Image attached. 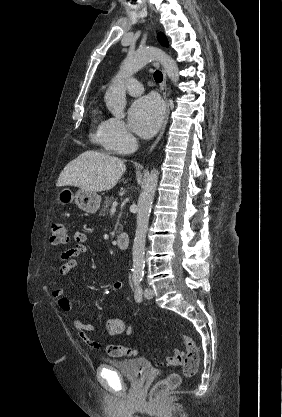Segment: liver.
<instances>
[{
    "instance_id": "6515ba94",
    "label": "liver",
    "mask_w": 282,
    "mask_h": 417,
    "mask_svg": "<svg viewBox=\"0 0 282 417\" xmlns=\"http://www.w3.org/2000/svg\"><path fill=\"white\" fill-rule=\"evenodd\" d=\"M126 166L118 156H109L96 150H85L70 160L59 174L57 186H79L82 190H110L117 184Z\"/></svg>"
}]
</instances>
